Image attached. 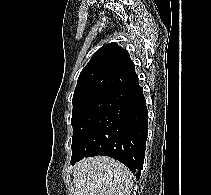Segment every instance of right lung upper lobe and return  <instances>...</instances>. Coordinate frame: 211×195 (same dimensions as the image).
<instances>
[{"mask_svg": "<svg viewBox=\"0 0 211 195\" xmlns=\"http://www.w3.org/2000/svg\"><path fill=\"white\" fill-rule=\"evenodd\" d=\"M138 81L128 52L117 43L98 49L81 71L74 95L90 90L117 89Z\"/></svg>", "mask_w": 211, "mask_h": 195, "instance_id": "cb5924a9", "label": "right lung upper lobe"}]
</instances>
